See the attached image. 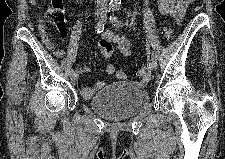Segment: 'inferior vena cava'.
Returning a JSON list of instances; mask_svg holds the SVG:
<instances>
[{
  "label": "inferior vena cava",
  "instance_id": "obj_1",
  "mask_svg": "<svg viewBox=\"0 0 225 159\" xmlns=\"http://www.w3.org/2000/svg\"><path fill=\"white\" fill-rule=\"evenodd\" d=\"M96 3L98 6L103 7L108 5V0H97Z\"/></svg>",
  "mask_w": 225,
  "mask_h": 159
}]
</instances>
